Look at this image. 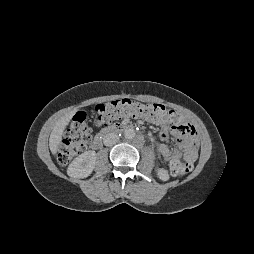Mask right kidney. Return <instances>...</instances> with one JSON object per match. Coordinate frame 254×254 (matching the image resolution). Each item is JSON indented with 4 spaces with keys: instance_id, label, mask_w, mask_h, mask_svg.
Segmentation results:
<instances>
[{
    "instance_id": "obj_1",
    "label": "right kidney",
    "mask_w": 254,
    "mask_h": 254,
    "mask_svg": "<svg viewBox=\"0 0 254 254\" xmlns=\"http://www.w3.org/2000/svg\"><path fill=\"white\" fill-rule=\"evenodd\" d=\"M96 162V152L86 151L76 157L67 169V174L74 178H86L88 177Z\"/></svg>"
}]
</instances>
